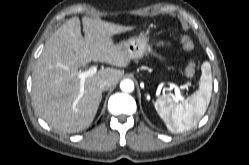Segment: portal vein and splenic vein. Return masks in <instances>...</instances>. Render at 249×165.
Segmentation results:
<instances>
[{
    "mask_svg": "<svg viewBox=\"0 0 249 165\" xmlns=\"http://www.w3.org/2000/svg\"><path fill=\"white\" fill-rule=\"evenodd\" d=\"M96 72H97V66H91L89 68V70L83 71V72H79L77 74L78 78L80 79V84H81L80 96H82V94H83V85H84L85 79L88 78V77H90V76H92ZM174 91H175V96L173 97L174 100L176 102H179V101L183 100V97L181 96V93H180V87L174 86Z\"/></svg>",
    "mask_w": 249,
    "mask_h": 165,
    "instance_id": "18ae733b",
    "label": "portal vein and splenic vein"
}]
</instances>
